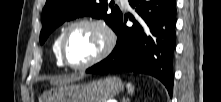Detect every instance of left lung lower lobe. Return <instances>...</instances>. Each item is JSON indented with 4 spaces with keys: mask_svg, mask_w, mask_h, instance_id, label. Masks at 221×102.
I'll use <instances>...</instances> for the list:
<instances>
[{
    "mask_svg": "<svg viewBox=\"0 0 221 102\" xmlns=\"http://www.w3.org/2000/svg\"><path fill=\"white\" fill-rule=\"evenodd\" d=\"M136 8L135 26L121 20L112 53L87 73L116 70L149 74L159 79L170 96L173 90V54L175 49V0H128Z\"/></svg>",
    "mask_w": 221,
    "mask_h": 102,
    "instance_id": "0a47b994",
    "label": "left lung lower lobe"
}]
</instances>
